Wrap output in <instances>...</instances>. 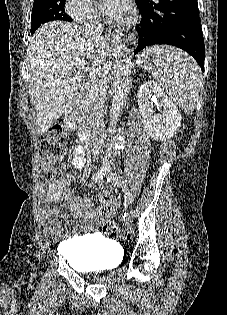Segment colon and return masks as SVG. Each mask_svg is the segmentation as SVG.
<instances>
[{
  "mask_svg": "<svg viewBox=\"0 0 227 315\" xmlns=\"http://www.w3.org/2000/svg\"><path fill=\"white\" fill-rule=\"evenodd\" d=\"M68 138L66 127L62 123H56L50 126L41 136L40 152L42 163L40 167V179L43 182L55 180L58 173L55 168L57 159L65 152V146ZM103 203L108 199V195H102ZM107 208L103 204L100 208V214L106 215ZM105 219V216H102ZM104 232L110 237H123L125 232L114 221H108L104 225Z\"/></svg>",
  "mask_w": 227,
  "mask_h": 315,
  "instance_id": "5ec220e1",
  "label": "colon"
}]
</instances>
